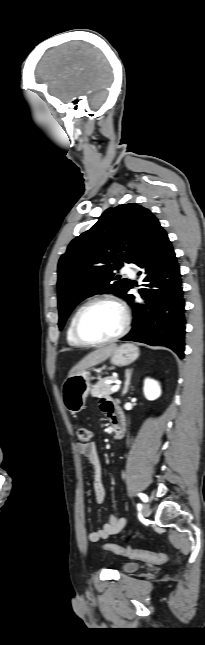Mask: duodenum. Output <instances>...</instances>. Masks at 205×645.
I'll use <instances>...</instances> for the list:
<instances>
[{"label":"duodenum","mask_w":205,"mask_h":645,"mask_svg":"<svg viewBox=\"0 0 205 645\" xmlns=\"http://www.w3.org/2000/svg\"><path fill=\"white\" fill-rule=\"evenodd\" d=\"M113 426V432L116 439L123 437L125 432V420L122 411L117 407L114 410L113 417L111 420Z\"/></svg>","instance_id":"obj_1"}]
</instances>
